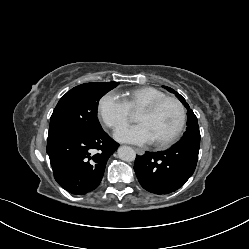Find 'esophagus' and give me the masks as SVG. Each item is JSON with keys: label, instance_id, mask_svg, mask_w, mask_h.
<instances>
[{"label": "esophagus", "instance_id": "obj_1", "mask_svg": "<svg viewBox=\"0 0 249 249\" xmlns=\"http://www.w3.org/2000/svg\"><path fill=\"white\" fill-rule=\"evenodd\" d=\"M134 150L136 151V153H137L138 155H143V154H144V150L141 149V148H136V147H134Z\"/></svg>", "mask_w": 249, "mask_h": 249}]
</instances>
